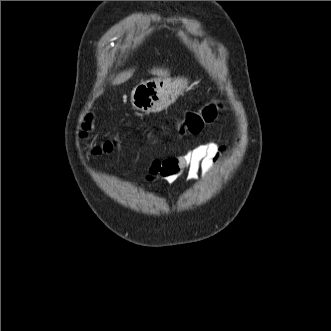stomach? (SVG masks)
<instances>
[{"instance_id": "0dacf381", "label": "stomach", "mask_w": 331, "mask_h": 331, "mask_svg": "<svg viewBox=\"0 0 331 331\" xmlns=\"http://www.w3.org/2000/svg\"><path fill=\"white\" fill-rule=\"evenodd\" d=\"M183 78H152L136 85L131 92L132 106L145 113L160 112L169 106L186 86Z\"/></svg>"}]
</instances>
